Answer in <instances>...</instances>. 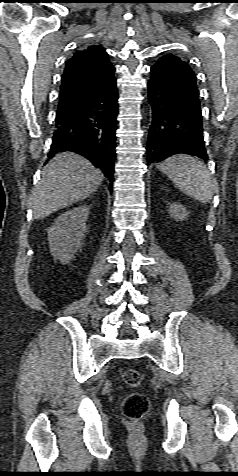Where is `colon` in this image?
I'll use <instances>...</instances> for the list:
<instances>
[{
  "mask_svg": "<svg viewBox=\"0 0 238 476\" xmlns=\"http://www.w3.org/2000/svg\"><path fill=\"white\" fill-rule=\"evenodd\" d=\"M142 381L138 370L130 368L123 373V382L125 385L136 388ZM150 401L148 397L140 392L130 393L123 401L122 411L126 418L132 421L140 420L149 410Z\"/></svg>",
  "mask_w": 238,
  "mask_h": 476,
  "instance_id": "colon-1",
  "label": "colon"
}]
</instances>
